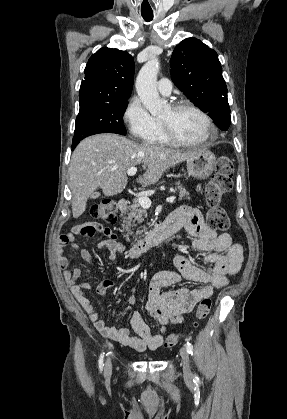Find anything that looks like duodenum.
Masks as SVG:
<instances>
[{"label":"duodenum","instance_id":"410a0bca","mask_svg":"<svg viewBox=\"0 0 287 419\" xmlns=\"http://www.w3.org/2000/svg\"><path fill=\"white\" fill-rule=\"evenodd\" d=\"M128 200L120 199L118 201V209L121 213H124L128 207ZM175 232V228L168 223H164L161 227L156 230L149 232L144 236L138 243H136L129 251V256L132 259H136L149 249L157 246L161 241L170 237Z\"/></svg>","mask_w":287,"mask_h":419}]
</instances>
